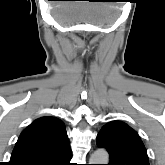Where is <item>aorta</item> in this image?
<instances>
[{
    "label": "aorta",
    "mask_w": 165,
    "mask_h": 165,
    "mask_svg": "<svg viewBox=\"0 0 165 165\" xmlns=\"http://www.w3.org/2000/svg\"><path fill=\"white\" fill-rule=\"evenodd\" d=\"M109 154L105 149H97L90 158V164H108Z\"/></svg>",
    "instance_id": "obj_1"
}]
</instances>
